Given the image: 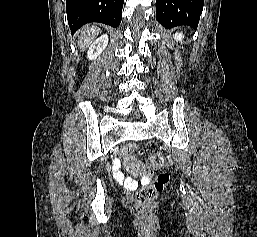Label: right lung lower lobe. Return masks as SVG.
<instances>
[{
  "label": "right lung lower lobe",
  "mask_w": 257,
  "mask_h": 237,
  "mask_svg": "<svg viewBox=\"0 0 257 237\" xmlns=\"http://www.w3.org/2000/svg\"><path fill=\"white\" fill-rule=\"evenodd\" d=\"M124 0H66L67 19L74 33L86 23L99 22L117 27Z\"/></svg>",
  "instance_id": "1"
}]
</instances>
